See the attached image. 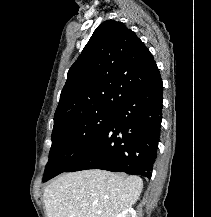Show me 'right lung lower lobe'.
I'll return each mask as SVG.
<instances>
[{"label": "right lung lower lobe", "mask_w": 211, "mask_h": 217, "mask_svg": "<svg viewBox=\"0 0 211 217\" xmlns=\"http://www.w3.org/2000/svg\"><path fill=\"white\" fill-rule=\"evenodd\" d=\"M161 77L135 91L116 110L96 144L65 172L102 169L151 177L161 127Z\"/></svg>", "instance_id": "obj_1"}]
</instances>
